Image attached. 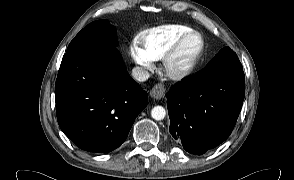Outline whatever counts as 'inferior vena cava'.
Segmentation results:
<instances>
[{
	"label": "inferior vena cava",
	"mask_w": 294,
	"mask_h": 180,
	"mask_svg": "<svg viewBox=\"0 0 294 180\" xmlns=\"http://www.w3.org/2000/svg\"><path fill=\"white\" fill-rule=\"evenodd\" d=\"M132 76L139 82H144L149 78V72L142 67H134L132 69Z\"/></svg>",
	"instance_id": "obj_1"
}]
</instances>
